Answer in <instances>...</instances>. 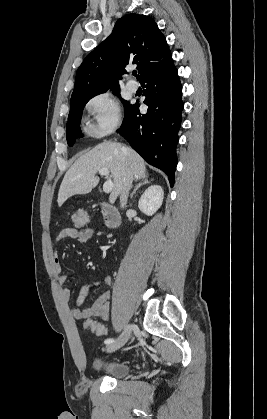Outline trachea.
<instances>
[{"label":"trachea","mask_w":267,"mask_h":419,"mask_svg":"<svg viewBox=\"0 0 267 419\" xmlns=\"http://www.w3.org/2000/svg\"><path fill=\"white\" fill-rule=\"evenodd\" d=\"M136 74H137V72H136V71H134V72H133V75H134V76H136Z\"/></svg>","instance_id":"1"}]
</instances>
